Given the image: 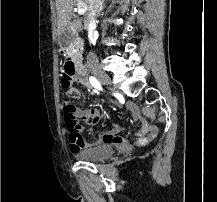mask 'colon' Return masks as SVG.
Wrapping results in <instances>:
<instances>
[{
	"instance_id": "1",
	"label": "colon",
	"mask_w": 217,
	"mask_h": 202,
	"mask_svg": "<svg viewBox=\"0 0 217 202\" xmlns=\"http://www.w3.org/2000/svg\"><path fill=\"white\" fill-rule=\"evenodd\" d=\"M60 95L63 96V112H61V117H64L67 128L69 130H80L81 126L74 116V106L69 101L70 91H61Z\"/></svg>"
}]
</instances>
